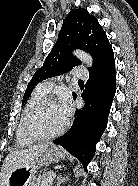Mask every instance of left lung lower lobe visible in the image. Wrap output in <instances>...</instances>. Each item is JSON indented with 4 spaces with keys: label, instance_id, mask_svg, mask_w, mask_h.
<instances>
[{
    "label": "left lung lower lobe",
    "instance_id": "left-lung-lower-lobe-1",
    "mask_svg": "<svg viewBox=\"0 0 138 186\" xmlns=\"http://www.w3.org/2000/svg\"><path fill=\"white\" fill-rule=\"evenodd\" d=\"M86 88L87 92L82 94V98L87 101L85 109L82 112L76 111L71 130L53 143L61 145L77 157L87 171V165L95 154L96 144L106 129L107 117L115 95V62L112 61L100 70L90 73ZM73 96L75 99L76 94Z\"/></svg>",
    "mask_w": 138,
    "mask_h": 186
}]
</instances>
